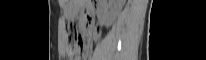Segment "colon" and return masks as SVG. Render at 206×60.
Masks as SVG:
<instances>
[{
  "mask_svg": "<svg viewBox=\"0 0 206 60\" xmlns=\"http://www.w3.org/2000/svg\"><path fill=\"white\" fill-rule=\"evenodd\" d=\"M65 31L68 44L67 56L69 60H73L75 59L81 47L80 41L78 39L76 24L73 22H68L66 24Z\"/></svg>",
  "mask_w": 206,
  "mask_h": 60,
  "instance_id": "colon-1",
  "label": "colon"
}]
</instances>
